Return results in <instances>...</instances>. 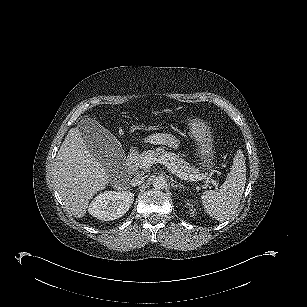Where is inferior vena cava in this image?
Returning a JSON list of instances; mask_svg holds the SVG:
<instances>
[{
    "instance_id": "602c4592",
    "label": "inferior vena cava",
    "mask_w": 307,
    "mask_h": 307,
    "mask_svg": "<svg viewBox=\"0 0 307 307\" xmlns=\"http://www.w3.org/2000/svg\"><path fill=\"white\" fill-rule=\"evenodd\" d=\"M144 181V177L142 176H136L134 177L131 181H130V184L131 186H137V185H140L141 183H143Z\"/></svg>"
}]
</instances>
